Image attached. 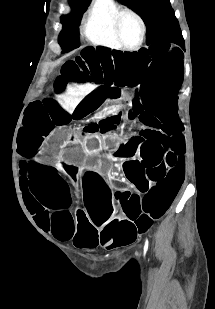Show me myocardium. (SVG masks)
<instances>
[{
	"label": "myocardium",
	"instance_id": "myocardium-1",
	"mask_svg": "<svg viewBox=\"0 0 215 309\" xmlns=\"http://www.w3.org/2000/svg\"><path fill=\"white\" fill-rule=\"evenodd\" d=\"M111 12H113L114 18H115V21L113 23L115 28H113V31H115V37H117L116 45L118 46V48H140L144 42L145 33H146L145 25L141 17L137 13L129 9H118V10H113ZM123 16L131 17L138 26V32H139L138 40L135 44L131 46H125L126 43L123 41L121 37L120 30L123 28V25L121 24L120 20H122Z\"/></svg>",
	"mask_w": 215,
	"mask_h": 309
}]
</instances>
